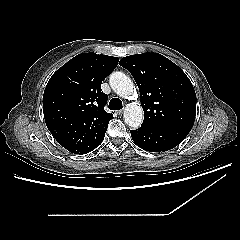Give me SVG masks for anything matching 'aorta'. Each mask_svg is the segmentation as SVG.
<instances>
[{
    "instance_id": "1",
    "label": "aorta",
    "mask_w": 240,
    "mask_h": 240,
    "mask_svg": "<svg viewBox=\"0 0 240 240\" xmlns=\"http://www.w3.org/2000/svg\"><path fill=\"white\" fill-rule=\"evenodd\" d=\"M109 83L113 91L124 98H130L135 92V86L133 81L123 72H114L110 75ZM144 113L140 104L131 103L128 104L124 111L125 123L133 128L137 129L143 122Z\"/></svg>"
}]
</instances>
